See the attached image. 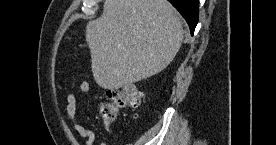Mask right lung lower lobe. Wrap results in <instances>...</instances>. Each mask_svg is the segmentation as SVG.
<instances>
[{
	"instance_id": "obj_1",
	"label": "right lung lower lobe",
	"mask_w": 276,
	"mask_h": 145,
	"mask_svg": "<svg viewBox=\"0 0 276 145\" xmlns=\"http://www.w3.org/2000/svg\"><path fill=\"white\" fill-rule=\"evenodd\" d=\"M185 18L193 35L199 18V0H168Z\"/></svg>"
}]
</instances>
